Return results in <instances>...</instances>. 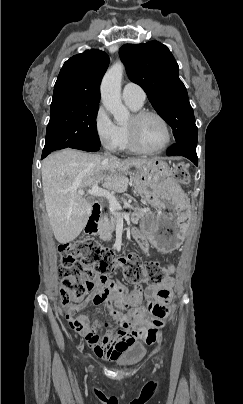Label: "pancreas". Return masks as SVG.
<instances>
[{
  "label": "pancreas",
  "mask_w": 243,
  "mask_h": 404,
  "mask_svg": "<svg viewBox=\"0 0 243 404\" xmlns=\"http://www.w3.org/2000/svg\"><path fill=\"white\" fill-rule=\"evenodd\" d=\"M142 212H144V210H136V212L132 214L133 224L139 223V218H142L141 216ZM121 214H123L122 210H116V212H110V217H106L105 222L104 220H102V222H99L98 234L101 240H104V242H110L112 234L116 228L117 218H120Z\"/></svg>",
  "instance_id": "pancreas-1"
}]
</instances>
